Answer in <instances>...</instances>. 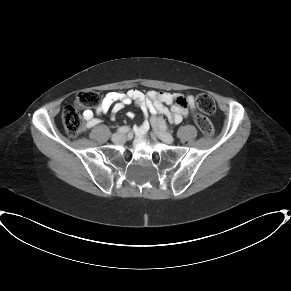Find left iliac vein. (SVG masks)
Masks as SVG:
<instances>
[{"label":"left iliac vein","mask_w":291,"mask_h":291,"mask_svg":"<svg viewBox=\"0 0 291 291\" xmlns=\"http://www.w3.org/2000/svg\"><path fill=\"white\" fill-rule=\"evenodd\" d=\"M152 127H153L154 133L160 140H162L163 142L167 144H171L174 142V138L169 132L165 131L164 129L159 128V126L154 124L153 122H152Z\"/></svg>","instance_id":"4c4485c4"}]
</instances>
